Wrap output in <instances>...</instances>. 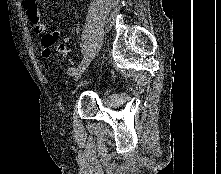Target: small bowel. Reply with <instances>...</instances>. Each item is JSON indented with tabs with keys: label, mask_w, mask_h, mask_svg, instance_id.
Returning a JSON list of instances; mask_svg holds the SVG:
<instances>
[{
	"label": "small bowel",
	"mask_w": 221,
	"mask_h": 174,
	"mask_svg": "<svg viewBox=\"0 0 221 174\" xmlns=\"http://www.w3.org/2000/svg\"><path fill=\"white\" fill-rule=\"evenodd\" d=\"M24 8L26 15L28 19L30 20L34 30L42 34L46 31V24L42 20L40 13H39V7H38V0H23ZM57 32V31H55ZM46 33L42 38V56L45 59H49L52 57L55 51V43L57 40L51 39V36L55 33ZM63 57H68V50L65 49L63 51H58Z\"/></svg>",
	"instance_id": "obj_1"
}]
</instances>
